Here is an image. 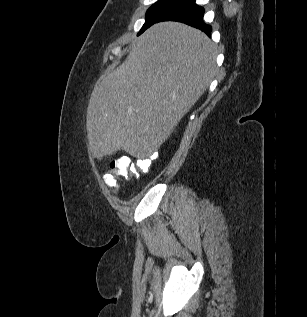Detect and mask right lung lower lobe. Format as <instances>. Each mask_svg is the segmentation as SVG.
Returning a JSON list of instances; mask_svg holds the SVG:
<instances>
[{"instance_id":"right-lung-lower-lobe-1","label":"right lung lower lobe","mask_w":307,"mask_h":317,"mask_svg":"<svg viewBox=\"0 0 307 317\" xmlns=\"http://www.w3.org/2000/svg\"><path fill=\"white\" fill-rule=\"evenodd\" d=\"M204 12V8L197 5L195 0H174L172 5H170L151 25L161 21H178L200 29L208 36H211L212 27L204 23Z\"/></svg>"}]
</instances>
